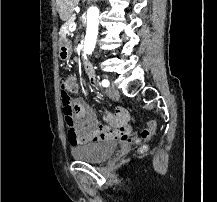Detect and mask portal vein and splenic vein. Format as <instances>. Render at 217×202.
Instances as JSON below:
<instances>
[{
  "mask_svg": "<svg viewBox=\"0 0 217 202\" xmlns=\"http://www.w3.org/2000/svg\"><path fill=\"white\" fill-rule=\"evenodd\" d=\"M72 26H76V24H71V28H72Z\"/></svg>",
  "mask_w": 217,
  "mask_h": 202,
  "instance_id": "1",
  "label": "portal vein and splenic vein"
}]
</instances>
